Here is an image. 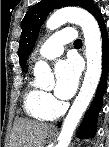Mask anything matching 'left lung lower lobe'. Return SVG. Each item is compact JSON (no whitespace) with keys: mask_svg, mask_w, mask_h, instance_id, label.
Returning a JSON list of instances; mask_svg holds the SVG:
<instances>
[{"mask_svg":"<svg viewBox=\"0 0 109 147\" xmlns=\"http://www.w3.org/2000/svg\"><path fill=\"white\" fill-rule=\"evenodd\" d=\"M97 20L102 34L103 44V72L100 79V83L95 95V98L86 112L84 120L78 130L77 136L79 138H92L96 131L97 115L102 106V97L106 89L107 75H108V63H109V39L106 30V26L100 10L98 7H94L90 12ZM60 126V124H59Z\"/></svg>","mask_w":109,"mask_h":147,"instance_id":"1","label":"left lung lower lobe"}]
</instances>
